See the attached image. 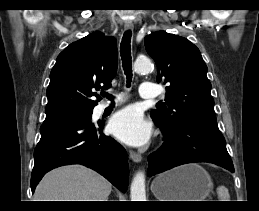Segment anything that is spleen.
<instances>
[{"label": "spleen", "mask_w": 259, "mask_h": 211, "mask_svg": "<svg viewBox=\"0 0 259 211\" xmlns=\"http://www.w3.org/2000/svg\"><path fill=\"white\" fill-rule=\"evenodd\" d=\"M217 194L220 201H230V195L225 186H219L217 188Z\"/></svg>", "instance_id": "spleen-1"}]
</instances>
